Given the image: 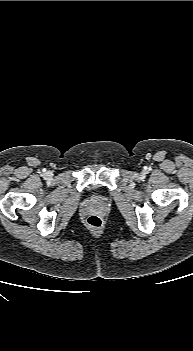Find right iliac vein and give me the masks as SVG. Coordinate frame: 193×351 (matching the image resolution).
<instances>
[{
  "mask_svg": "<svg viewBox=\"0 0 193 351\" xmlns=\"http://www.w3.org/2000/svg\"><path fill=\"white\" fill-rule=\"evenodd\" d=\"M46 177H47V178H50V177H51V173H50V172H47V173H46Z\"/></svg>",
  "mask_w": 193,
  "mask_h": 351,
  "instance_id": "obj_1",
  "label": "right iliac vein"
}]
</instances>
